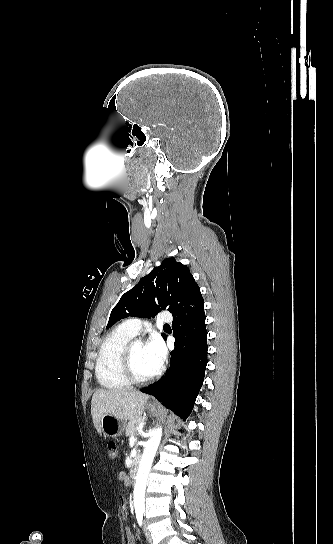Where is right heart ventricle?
<instances>
[{"label": "right heart ventricle", "instance_id": "obj_1", "mask_svg": "<svg viewBox=\"0 0 333 544\" xmlns=\"http://www.w3.org/2000/svg\"><path fill=\"white\" fill-rule=\"evenodd\" d=\"M133 337L134 335L120 325L104 338L95 367L96 378L102 387L121 390L130 386L122 371V355Z\"/></svg>", "mask_w": 333, "mask_h": 544}]
</instances>
